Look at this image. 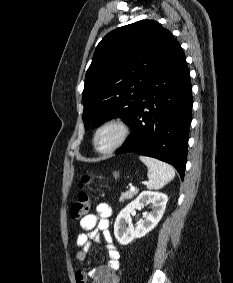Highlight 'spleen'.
Returning a JSON list of instances; mask_svg holds the SVG:
<instances>
[{
    "instance_id": "spleen-1",
    "label": "spleen",
    "mask_w": 233,
    "mask_h": 283,
    "mask_svg": "<svg viewBox=\"0 0 233 283\" xmlns=\"http://www.w3.org/2000/svg\"><path fill=\"white\" fill-rule=\"evenodd\" d=\"M139 159L148 168L147 176L149 180L146 184V187L149 190H158L175 177V171L169 164L148 156H140Z\"/></svg>"
}]
</instances>
